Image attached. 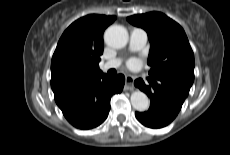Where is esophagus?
<instances>
[{
	"label": "esophagus",
	"mask_w": 230,
	"mask_h": 155,
	"mask_svg": "<svg viewBox=\"0 0 230 155\" xmlns=\"http://www.w3.org/2000/svg\"><path fill=\"white\" fill-rule=\"evenodd\" d=\"M134 77L131 75L125 76V89L126 90H133L134 89Z\"/></svg>",
	"instance_id": "1"
}]
</instances>
